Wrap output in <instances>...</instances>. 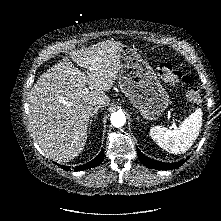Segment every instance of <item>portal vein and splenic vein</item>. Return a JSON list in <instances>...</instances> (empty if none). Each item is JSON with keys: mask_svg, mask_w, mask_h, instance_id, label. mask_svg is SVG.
<instances>
[{"mask_svg": "<svg viewBox=\"0 0 221 221\" xmlns=\"http://www.w3.org/2000/svg\"><path fill=\"white\" fill-rule=\"evenodd\" d=\"M172 127H175V124H172Z\"/></svg>", "mask_w": 221, "mask_h": 221, "instance_id": "portal-vein-and-splenic-vein-1", "label": "portal vein and splenic vein"}]
</instances>
